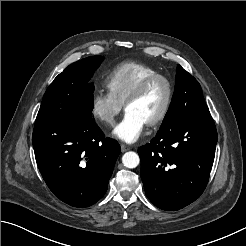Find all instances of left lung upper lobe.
<instances>
[{"label":"left lung upper lobe","mask_w":246,"mask_h":246,"mask_svg":"<svg viewBox=\"0 0 246 246\" xmlns=\"http://www.w3.org/2000/svg\"><path fill=\"white\" fill-rule=\"evenodd\" d=\"M175 90L161 129L188 115L209 111L198 81L180 65L176 69Z\"/></svg>","instance_id":"left-lung-upper-lobe-1"}]
</instances>
